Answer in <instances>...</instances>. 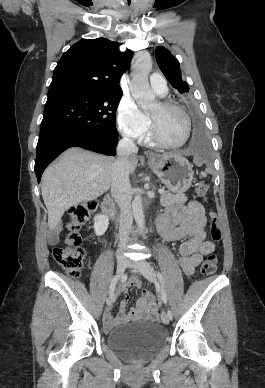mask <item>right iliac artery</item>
Masks as SVG:
<instances>
[{
	"label": "right iliac artery",
	"instance_id": "1",
	"mask_svg": "<svg viewBox=\"0 0 265 388\" xmlns=\"http://www.w3.org/2000/svg\"><path fill=\"white\" fill-rule=\"evenodd\" d=\"M117 281H118V277H117V276H114V277L112 278V280H111V284H110V288H109V294H110V295L114 293V290H115Z\"/></svg>",
	"mask_w": 265,
	"mask_h": 388
}]
</instances>
